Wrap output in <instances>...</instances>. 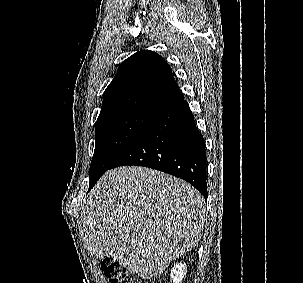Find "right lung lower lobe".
I'll return each instance as SVG.
<instances>
[{
    "mask_svg": "<svg viewBox=\"0 0 303 283\" xmlns=\"http://www.w3.org/2000/svg\"><path fill=\"white\" fill-rule=\"evenodd\" d=\"M125 165L149 167L179 177L207 197L204 138L187 101L156 116L110 169Z\"/></svg>",
    "mask_w": 303,
    "mask_h": 283,
    "instance_id": "right-lung-lower-lobe-1",
    "label": "right lung lower lobe"
}]
</instances>
